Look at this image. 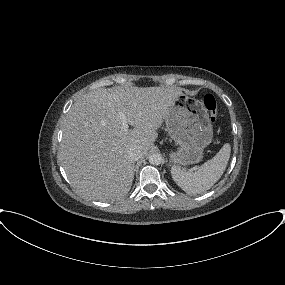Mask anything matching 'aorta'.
<instances>
[{
  "label": "aorta",
  "mask_w": 285,
  "mask_h": 285,
  "mask_svg": "<svg viewBox=\"0 0 285 285\" xmlns=\"http://www.w3.org/2000/svg\"><path fill=\"white\" fill-rule=\"evenodd\" d=\"M162 162V156L159 153H152L149 155V163L152 165H159Z\"/></svg>",
  "instance_id": "1"
}]
</instances>
